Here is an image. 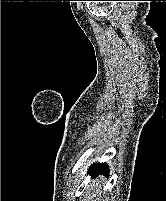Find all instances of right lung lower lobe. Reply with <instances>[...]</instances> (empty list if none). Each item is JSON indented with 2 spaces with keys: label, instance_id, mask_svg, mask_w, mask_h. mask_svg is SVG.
I'll use <instances>...</instances> for the list:
<instances>
[{
  "label": "right lung lower lobe",
  "instance_id": "right-lung-lower-lobe-1",
  "mask_svg": "<svg viewBox=\"0 0 166 201\" xmlns=\"http://www.w3.org/2000/svg\"><path fill=\"white\" fill-rule=\"evenodd\" d=\"M108 172H109V168L105 163H102V164L98 163L95 166L93 165L91 166L90 173L94 176L102 174V173L108 174Z\"/></svg>",
  "mask_w": 166,
  "mask_h": 201
}]
</instances>
